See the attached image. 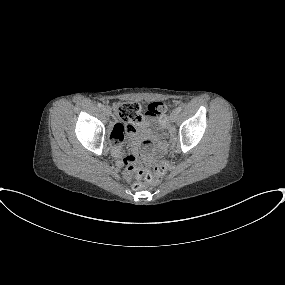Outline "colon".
<instances>
[{
    "label": "colon",
    "mask_w": 285,
    "mask_h": 285,
    "mask_svg": "<svg viewBox=\"0 0 285 285\" xmlns=\"http://www.w3.org/2000/svg\"><path fill=\"white\" fill-rule=\"evenodd\" d=\"M114 108L117 119L127 133L132 132L135 126L141 123L146 115L140 104L135 101L117 103ZM147 113L156 117L161 126L167 123L166 107L163 103H150L147 106ZM123 162L132 174L137 175L138 178L151 184H159L163 180L169 167L167 161H161L152 169H137L135 166V158L132 155L125 156ZM141 186L142 183L139 180L133 183L135 189H139Z\"/></svg>",
    "instance_id": "5ec220e1"
}]
</instances>
